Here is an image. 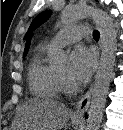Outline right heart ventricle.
Listing matches in <instances>:
<instances>
[{
  "label": "right heart ventricle",
  "mask_w": 123,
  "mask_h": 130,
  "mask_svg": "<svg viewBox=\"0 0 123 130\" xmlns=\"http://www.w3.org/2000/svg\"><path fill=\"white\" fill-rule=\"evenodd\" d=\"M55 48L50 44L39 46L28 69V80L32 93L43 99L56 98L61 89L58 72L49 63L48 57Z\"/></svg>",
  "instance_id": "obj_1"
}]
</instances>
